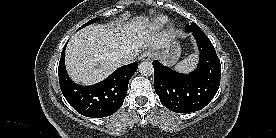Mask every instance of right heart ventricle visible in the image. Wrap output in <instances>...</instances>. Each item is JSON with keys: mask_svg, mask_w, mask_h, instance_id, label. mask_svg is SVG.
I'll return each instance as SVG.
<instances>
[{"mask_svg": "<svg viewBox=\"0 0 276 138\" xmlns=\"http://www.w3.org/2000/svg\"><path fill=\"white\" fill-rule=\"evenodd\" d=\"M168 22V18L165 16H160L158 17L154 23L152 24V28L154 30H158L161 29L164 25H166V23Z\"/></svg>", "mask_w": 276, "mask_h": 138, "instance_id": "1", "label": "right heart ventricle"}]
</instances>
